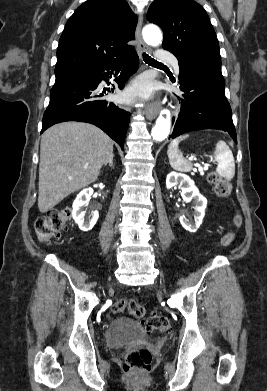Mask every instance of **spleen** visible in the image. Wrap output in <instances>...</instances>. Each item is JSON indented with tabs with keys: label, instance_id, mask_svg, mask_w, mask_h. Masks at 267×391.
<instances>
[{
	"label": "spleen",
	"instance_id": "1",
	"mask_svg": "<svg viewBox=\"0 0 267 391\" xmlns=\"http://www.w3.org/2000/svg\"><path fill=\"white\" fill-rule=\"evenodd\" d=\"M188 137L189 135L186 134L175 138L169 144L167 150L171 167L180 172H190L192 170V164L183 157L178 148L179 143ZM213 157L218 163L217 173L226 180H231L235 175V163L232 151L226 142L221 140L216 144Z\"/></svg>",
	"mask_w": 267,
	"mask_h": 391
}]
</instances>
